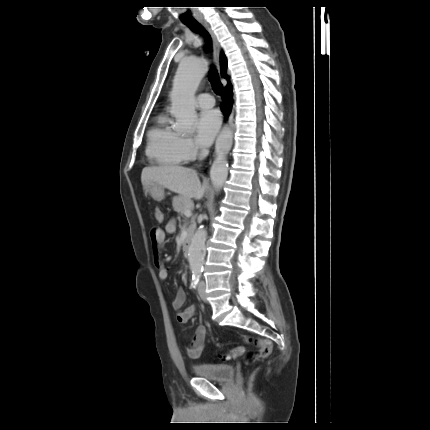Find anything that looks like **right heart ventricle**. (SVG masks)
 Listing matches in <instances>:
<instances>
[{"label": "right heart ventricle", "mask_w": 430, "mask_h": 430, "mask_svg": "<svg viewBox=\"0 0 430 430\" xmlns=\"http://www.w3.org/2000/svg\"><path fill=\"white\" fill-rule=\"evenodd\" d=\"M180 137L170 127L166 115L158 116L147 133L146 155L149 160L167 167L181 165L186 159L179 147Z\"/></svg>", "instance_id": "obj_1"}]
</instances>
